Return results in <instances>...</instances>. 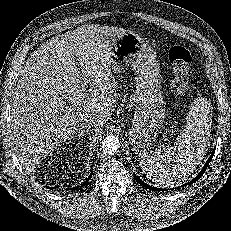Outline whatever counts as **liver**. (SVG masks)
Masks as SVG:
<instances>
[{"label": "liver", "mask_w": 231, "mask_h": 231, "mask_svg": "<svg viewBox=\"0 0 231 231\" xmlns=\"http://www.w3.org/2000/svg\"><path fill=\"white\" fill-rule=\"evenodd\" d=\"M123 28L89 24L50 38L26 61L12 95L9 138L19 160L33 169L78 130L83 116L99 131L118 96L110 66ZM92 86L90 93L83 83Z\"/></svg>", "instance_id": "6515ba94"}]
</instances>
